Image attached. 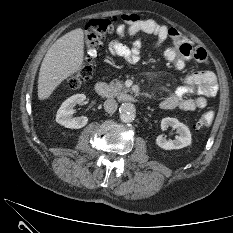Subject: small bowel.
Segmentation results:
<instances>
[{"label": "small bowel", "mask_w": 233, "mask_h": 233, "mask_svg": "<svg viewBox=\"0 0 233 233\" xmlns=\"http://www.w3.org/2000/svg\"><path fill=\"white\" fill-rule=\"evenodd\" d=\"M123 23L116 28L120 39L113 40L108 46L112 55L120 56L130 63H137L140 60V49L142 41L137 38L131 46L125 44L122 39L136 37L141 33L153 34L157 37V48L170 39L175 50L183 60L195 59L201 65L208 64V57L204 49L195 46L191 41L184 38L175 28H170L153 19L142 18L134 13H127L122 16ZM218 92L217 77L210 70L194 72L183 79L182 85L165 97L159 104L163 110L180 109L193 111L203 109L207 106V98L215 96ZM190 94L195 97L188 98Z\"/></svg>", "instance_id": "obj_1"}]
</instances>
